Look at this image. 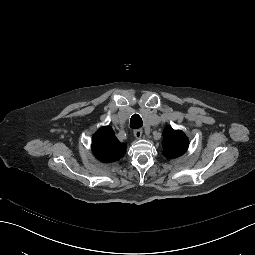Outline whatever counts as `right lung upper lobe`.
<instances>
[{"instance_id":"obj_1","label":"right lung upper lobe","mask_w":255,"mask_h":255,"mask_svg":"<svg viewBox=\"0 0 255 255\" xmlns=\"http://www.w3.org/2000/svg\"><path fill=\"white\" fill-rule=\"evenodd\" d=\"M126 144L119 142L110 126L101 127L92 138V151L101 162H114L125 154Z\"/></svg>"}]
</instances>
